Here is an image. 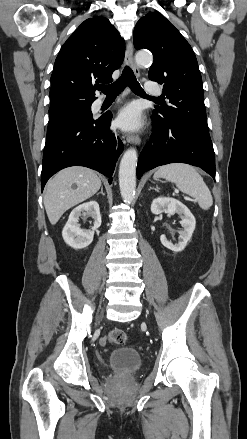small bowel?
Segmentation results:
<instances>
[{"label":"small bowel","instance_id":"c3829d8e","mask_svg":"<svg viewBox=\"0 0 247 439\" xmlns=\"http://www.w3.org/2000/svg\"><path fill=\"white\" fill-rule=\"evenodd\" d=\"M104 342H105V340L103 339V340H102V343H104Z\"/></svg>","mask_w":247,"mask_h":439}]
</instances>
